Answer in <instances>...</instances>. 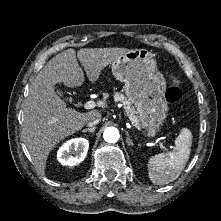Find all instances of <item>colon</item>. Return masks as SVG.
<instances>
[{
	"mask_svg": "<svg viewBox=\"0 0 221 221\" xmlns=\"http://www.w3.org/2000/svg\"><path fill=\"white\" fill-rule=\"evenodd\" d=\"M171 85L167 88L164 101L169 106L178 104L183 98V91L181 89V80L177 75L170 76Z\"/></svg>",
	"mask_w": 221,
	"mask_h": 221,
	"instance_id": "1",
	"label": "colon"
}]
</instances>
